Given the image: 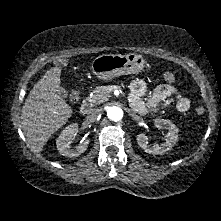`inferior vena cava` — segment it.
I'll return each instance as SVG.
<instances>
[{"instance_id": "obj_1", "label": "inferior vena cava", "mask_w": 221, "mask_h": 221, "mask_svg": "<svg viewBox=\"0 0 221 221\" xmlns=\"http://www.w3.org/2000/svg\"><path fill=\"white\" fill-rule=\"evenodd\" d=\"M100 112L101 110L99 108L91 109L86 116V120L88 122H94L98 118Z\"/></svg>"}]
</instances>
